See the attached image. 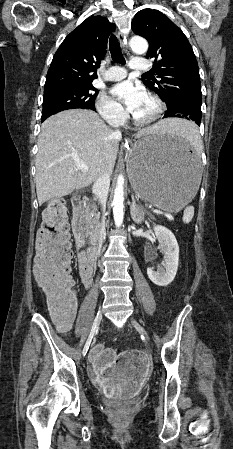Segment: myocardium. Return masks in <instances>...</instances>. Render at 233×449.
Wrapping results in <instances>:
<instances>
[{
  "mask_svg": "<svg viewBox=\"0 0 233 449\" xmlns=\"http://www.w3.org/2000/svg\"><path fill=\"white\" fill-rule=\"evenodd\" d=\"M146 96L154 103L155 111L149 118L146 119H139L138 117L133 115V122L138 126H147L156 122L164 112V103L157 95L153 93H147Z\"/></svg>",
  "mask_w": 233,
  "mask_h": 449,
  "instance_id": "f54148a6",
  "label": "myocardium"
}]
</instances>
